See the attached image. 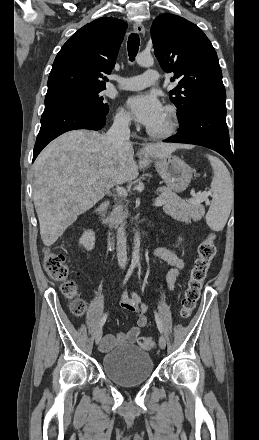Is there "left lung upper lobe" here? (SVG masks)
Segmentation results:
<instances>
[{"label":"left lung upper lobe","instance_id":"obj_1","mask_svg":"<svg viewBox=\"0 0 259 440\" xmlns=\"http://www.w3.org/2000/svg\"><path fill=\"white\" fill-rule=\"evenodd\" d=\"M154 53L161 68L178 85L169 92L182 122L197 105L212 102L225 106L226 91L218 57L204 32L173 14H161L152 24Z\"/></svg>","mask_w":259,"mask_h":440}]
</instances>
